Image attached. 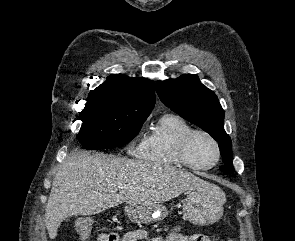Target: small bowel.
<instances>
[{
	"instance_id": "obj_1",
	"label": "small bowel",
	"mask_w": 295,
	"mask_h": 241,
	"mask_svg": "<svg viewBox=\"0 0 295 241\" xmlns=\"http://www.w3.org/2000/svg\"><path fill=\"white\" fill-rule=\"evenodd\" d=\"M210 241L209 238L202 233H194L186 235L182 233L180 228L171 230L166 237H151L145 230H133L124 234L122 237L116 233H104L99 236V241Z\"/></svg>"
}]
</instances>
